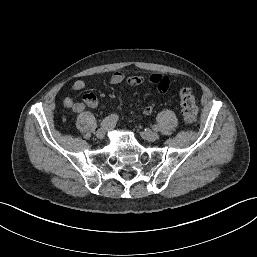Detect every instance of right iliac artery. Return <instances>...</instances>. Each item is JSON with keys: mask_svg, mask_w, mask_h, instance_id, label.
I'll use <instances>...</instances> for the list:
<instances>
[{"mask_svg": "<svg viewBox=\"0 0 257 257\" xmlns=\"http://www.w3.org/2000/svg\"><path fill=\"white\" fill-rule=\"evenodd\" d=\"M118 115L117 114H111L108 117H106L101 123V127H108V126H113L116 124L118 120Z\"/></svg>", "mask_w": 257, "mask_h": 257, "instance_id": "right-iliac-artery-1", "label": "right iliac artery"}]
</instances>
